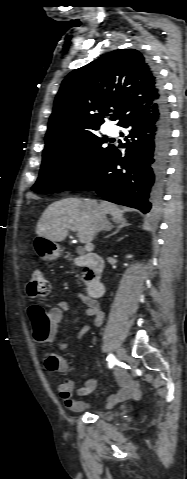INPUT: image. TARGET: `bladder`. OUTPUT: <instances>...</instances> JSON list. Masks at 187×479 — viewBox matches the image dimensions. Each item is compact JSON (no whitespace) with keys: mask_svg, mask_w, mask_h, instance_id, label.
Wrapping results in <instances>:
<instances>
[{"mask_svg":"<svg viewBox=\"0 0 187 479\" xmlns=\"http://www.w3.org/2000/svg\"><path fill=\"white\" fill-rule=\"evenodd\" d=\"M98 417H99L100 419H106L105 416H103V415H99Z\"/></svg>","mask_w":187,"mask_h":479,"instance_id":"bladder-1","label":"bladder"}]
</instances>
